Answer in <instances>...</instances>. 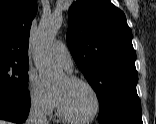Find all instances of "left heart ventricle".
<instances>
[{"instance_id": "left-heart-ventricle-1", "label": "left heart ventricle", "mask_w": 156, "mask_h": 124, "mask_svg": "<svg viewBox=\"0 0 156 124\" xmlns=\"http://www.w3.org/2000/svg\"><path fill=\"white\" fill-rule=\"evenodd\" d=\"M65 108L76 117H88L96 109L93 93L86 86L69 82L64 76L54 86Z\"/></svg>"}]
</instances>
